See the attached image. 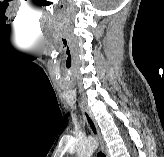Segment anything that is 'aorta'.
<instances>
[{
	"instance_id": "762f6f07",
	"label": "aorta",
	"mask_w": 164,
	"mask_h": 157,
	"mask_svg": "<svg viewBox=\"0 0 164 157\" xmlns=\"http://www.w3.org/2000/svg\"><path fill=\"white\" fill-rule=\"evenodd\" d=\"M97 147L98 143L95 140H86L81 142L77 151L78 157H91Z\"/></svg>"
}]
</instances>
